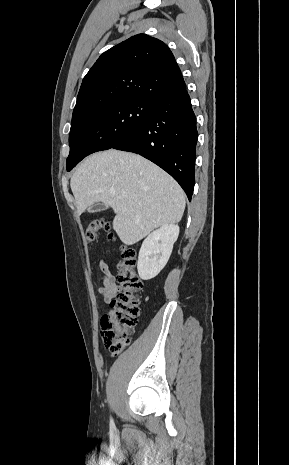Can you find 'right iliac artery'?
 Instances as JSON below:
<instances>
[{
  "label": "right iliac artery",
  "mask_w": 289,
  "mask_h": 465,
  "mask_svg": "<svg viewBox=\"0 0 289 465\" xmlns=\"http://www.w3.org/2000/svg\"><path fill=\"white\" fill-rule=\"evenodd\" d=\"M111 424H113V421H112V419H111Z\"/></svg>",
  "instance_id": "right-iliac-artery-1"
}]
</instances>
